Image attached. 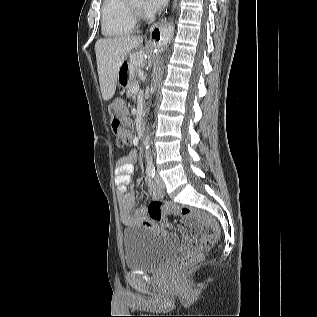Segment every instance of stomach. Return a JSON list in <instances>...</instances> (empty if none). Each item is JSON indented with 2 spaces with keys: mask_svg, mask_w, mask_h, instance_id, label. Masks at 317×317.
<instances>
[{
  "mask_svg": "<svg viewBox=\"0 0 317 317\" xmlns=\"http://www.w3.org/2000/svg\"><path fill=\"white\" fill-rule=\"evenodd\" d=\"M144 61L143 55L133 53L132 55H124L122 65L117 69V77L114 82V90L116 94H127V87L133 74L139 72V66Z\"/></svg>",
  "mask_w": 317,
  "mask_h": 317,
  "instance_id": "1",
  "label": "stomach"
}]
</instances>
